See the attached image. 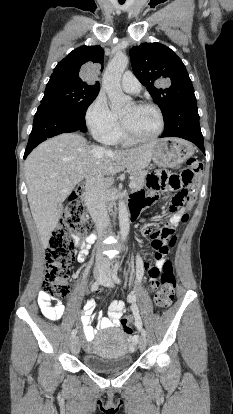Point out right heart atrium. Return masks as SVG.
Instances as JSON below:
<instances>
[{"label": "right heart atrium", "mask_w": 233, "mask_h": 414, "mask_svg": "<svg viewBox=\"0 0 233 414\" xmlns=\"http://www.w3.org/2000/svg\"><path fill=\"white\" fill-rule=\"evenodd\" d=\"M85 121L91 134L101 142L111 143L119 125L103 94H98L85 112Z\"/></svg>", "instance_id": "right-heart-atrium-1"}]
</instances>
